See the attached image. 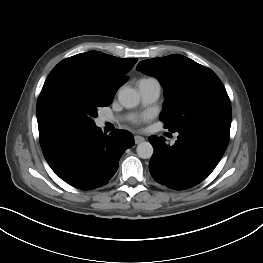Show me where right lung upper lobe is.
<instances>
[{
    "instance_id": "right-lung-upper-lobe-1",
    "label": "right lung upper lobe",
    "mask_w": 263,
    "mask_h": 263,
    "mask_svg": "<svg viewBox=\"0 0 263 263\" xmlns=\"http://www.w3.org/2000/svg\"><path fill=\"white\" fill-rule=\"evenodd\" d=\"M137 59H121L99 51H89L69 57L59 62L47 79L60 75L72 74L87 78L100 85L104 91L113 96L127 79Z\"/></svg>"
}]
</instances>
